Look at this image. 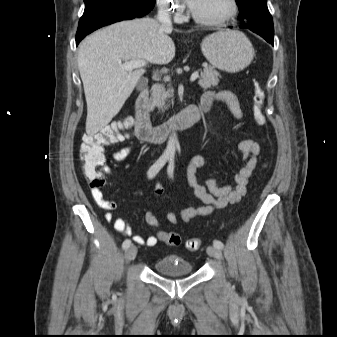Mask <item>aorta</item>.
<instances>
[{"instance_id": "762f6f07", "label": "aorta", "mask_w": 337, "mask_h": 337, "mask_svg": "<svg viewBox=\"0 0 337 337\" xmlns=\"http://www.w3.org/2000/svg\"><path fill=\"white\" fill-rule=\"evenodd\" d=\"M176 147H177V137H176V133L173 132L169 136L164 154L168 157H174L175 152H176Z\"/></svg>"}]
</instances>
